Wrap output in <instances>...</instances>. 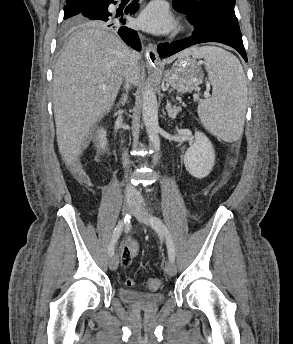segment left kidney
I'll use <instances>...</instances> for the list:
<instances>
[{"mask_svg":"<svg viewBox=\"0 0 293 344\" xmlns=\"http://www.w3.org/2000/svg\"><path fill=\"white\" fill-rule=\"evenodd\" d=\"M194 143L186 150L184 165L195 178L209 175L215 163V151L208 137L200 131L195 132Z\"/></svg>","mask_w":293,"mask_h":344,"instance_id":"5707ae66","label":"left kidney"}]
</instances>
